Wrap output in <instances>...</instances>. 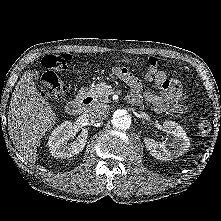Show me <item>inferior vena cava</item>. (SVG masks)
<instances>
[{
	"label": "inferior vena cava",
	"instance_id": "obj_1",
	"mask_svg": "<svg viewBox=\"0 0 221 221\" xmlns=\"http://www.w3.org/2000/svg\"><path fill=\"white\" fill-rule=\"evenodd\" d=\"M108 111V105L94 104L89 108L88 113L93 120L102 121L107 117Z\"/></svg>",
	"mask_w": 221,
	"mask_h": 221
}]
</instances>
